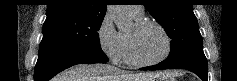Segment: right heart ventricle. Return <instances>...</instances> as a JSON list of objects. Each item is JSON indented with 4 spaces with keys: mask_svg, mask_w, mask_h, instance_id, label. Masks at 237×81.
I'll use <instances>...</instances> for the list:
<instances>
[{
    "mask_svg": "<svg viewBox=\"0 0 237 81\" xmlns=\"http://www.w3.org/2000/svg\"><path fill=\"white\" fill-rule=\"evenodd\" d=\"M131 16L136 21L143 19V15L142 16H137V15H134V14L131 13ZM121 35H122L123 44H124L123 59L126 63L132 64L133 62L130 58L129 51H128V46H127V39H126L127 34L126 33H121Z\"/></svg>",
    "mask_w": 237,
    "mask_h": 81,
    "instance_id": "obj_1",
    "label": "right heart ventricle"
}]
</instances>
